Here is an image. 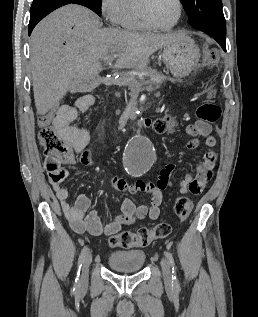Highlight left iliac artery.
Listing matches in <instances>:
<instances>
[{
	"label": "left iliac artery",
	"mask_w": 258,
	"mask_h": 317,
	"mask_svg": "<svg viewBox=\"0 0 258 317\" xmlns=\"http://www.w3.org/2000/svg\"><path fill=\"white\" fill-rule=\"evenodd\" d=\"M165 255H166V257H167V259L172 267V290L175 294H179L181 291V286H180V282H179L178 277H177V271H176L177 268L175 265L173 255L169 250L165 251Z\"/></svg>",
	"instance_id": "left-iliac-artery-1"
}]
</instances>
